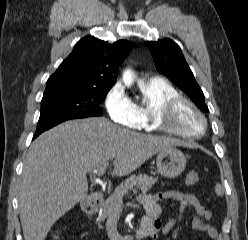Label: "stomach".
Wrapping results in <instances>:
<instances>
[{
  "label": "stomach",
  "mask_w": 248,
  "mask_h": 240,
  "mask_svg": "<svg viewBox=\"0 0 248 240\" xmlns=\"http://www.w3.org/2000/svg\"><path fill=\"white\" fill-rule=\"evenodd\" d=\"M186 161L183 152L173 147L158 153L156 157L157 170L164 177L175 178L184 171Z\"/></svg>",
  "instance_id": "0dacf381"
}]
</instances>
